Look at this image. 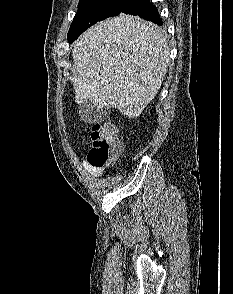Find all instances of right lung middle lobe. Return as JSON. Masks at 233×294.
I'll use <instances>...</instances> for the list:
<instances>
[{
	"label": "right lung middle lobe",
	"mask_w": 233,
	"mask_h": 294,
	"mask_svg": "<svg viewBox=\"0 0 233 294\" xmlns=\"http://www.w3.org/2000/svg\"><path fill=\"white\" fill-rule=\"evenodd\" d=\"M130 0H80L78 11L68 32V39L77 38L97 21L117 16Z\"/></svg>",
	"instance_id": "obj_1"
}]
</instances>
